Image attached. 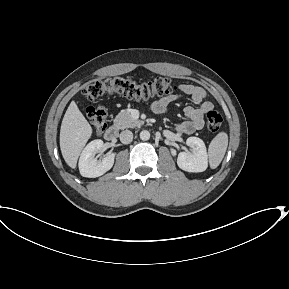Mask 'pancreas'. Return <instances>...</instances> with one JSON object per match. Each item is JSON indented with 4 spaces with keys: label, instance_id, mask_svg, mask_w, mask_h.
Returning a JSON list of instances; mask_svg holds the SVG:
<instances>
[{
    "label": "pancreas",
    "instance_id": "1",
    "mask_svg": "<svg viewBox=\"0 0 289 289\" xmlns=\"http://www.w3.org/2000/svg\"><path fill=\"white\" fill-rule=\"evenodd\" d=\"M142 121L135 120L132 118L131 114L127 111H121L114 119V126L117 129L133 128L140 126Z\"/></svg>",
    "mask_w": 289,
    "mask_h": 289
}]
</instances>
